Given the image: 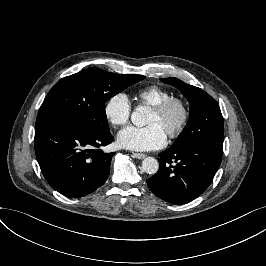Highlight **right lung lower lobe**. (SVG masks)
Instances as JSON below:
<instances>
[{"label":"right lung lower lobe","instance_id":"obj_1","mask_svg":"<svg viewBox=\"0 0 266 266\" xmlns=\"http://www.w3.org/2000/svg\"><path fill=\"white\" fill-rule=\"evenodd\" d=\"M113 141L109 131L96 132L69 119L35 128L34 147L41 171L53 189L78 198L104 184L113 153L100 148Z\"/></svg>","mask_w":266,"mask_h":266}]
</instances>
